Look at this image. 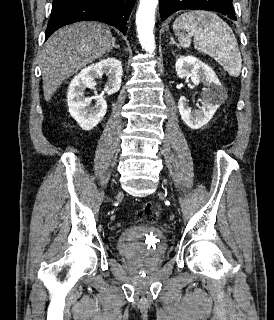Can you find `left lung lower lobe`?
I'll list each match as a JSON object with an SVG mask.
<instances>
[{"label":"left lung lower lobe","instance_id":"0a47b994","mask_svg":"<svg viewBox=\"0 0 274 320\" xmlns=\"http://www.w3.org/2000/svg\"><path fill=\"white\" fill-rule=\"evenodd\" d=\"M182 9H200L216 11L237 20L232 0H160L159 12L161 20Z\"/></svg>","mask_w":274,"mask_h":320}]
</instances>
